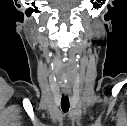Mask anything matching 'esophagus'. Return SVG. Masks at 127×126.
Masks as SVG:
<instances>
[{"label":"esophagus","mask_w":127,"mask_h":126,"mask_svg":"<svg viewBox=\"0 0 127 126\" xmlns=\"http://www.w3.org/2000/svg\"><path fill=\"white\" fill-rule=\"evenodd\" d=\"M65 94H69V91H64Z\"/></svg>","instance_id":"1"}]
</instances>
